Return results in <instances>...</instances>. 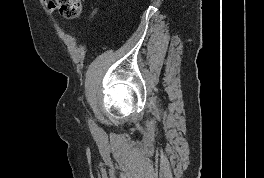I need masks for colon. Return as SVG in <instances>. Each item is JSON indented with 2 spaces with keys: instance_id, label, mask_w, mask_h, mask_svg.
<instances>
[{
  "instance_id": "colon-1",
  "label": "colon",
  "mask_w": 264,
  "mask_h": 178,
  "mask_svg": "<svg viewBox=\"0 0 264 178\" xmlns=\"http://www.w3.org/2000/svg\"><path fill=\"white\" fill-rule=\"evenodd\" d=\"M50 4L57 7L60 14L65 18H76L81 13V0H52Z\"/></svg>"
}]
</instances>
